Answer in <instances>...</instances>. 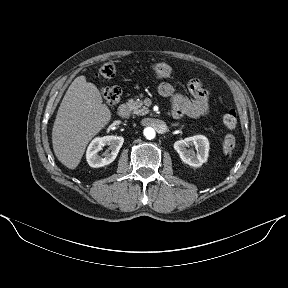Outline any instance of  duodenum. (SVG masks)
I'll return each mask as SVG.
<instances>
[{
    "label": "duodenum",
    "instance_id": "410a0bca",
    "mask_svg": "<svg viewBox=\"0 0 288 288\" xmlns=\"http://www.w3.org/2000/svg\"><path fill=\"white\" fill-rule=\"evenodd\" d=\"M118 114L122 118H127L130 115V107L128 104H121L118 108Z\"/></svg>",
    "mask_w": 288,
    "mask_h": 288
}]
</instances>
